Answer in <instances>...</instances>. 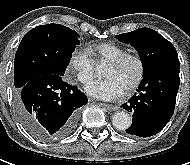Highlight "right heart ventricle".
Returning <instances> with one entry per match:
<instances>
[{
	"instance_id": "e07e8e85",
	"label": "right heart ventricle",
	"mask_w": 190,
	"mask_h": 165,
	"mask_svg": "<svg viewBox=\"0 0 190 165\" xmlns=\"http://www.w3.org/2000/svg\"><path fill=\"white\" fill-rule=\"evenodd\" d=\"M88 51L98 60L109 62L128 53L124 47L112 42H104L89 46Z\"/></svg>"
}]
</instances>
